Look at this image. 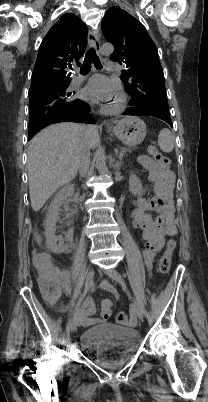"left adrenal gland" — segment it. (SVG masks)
<instances>
[{
    "instance_id": "a2214340",
    "label": "left adrenal gland",
    "mask_w": 208,
    "mask_h": 402,
    "mask_svg": "<svg viewBox=\"0 0 208 402\" xmlns=\"http://www.w3.org/2000/svg\"><path fill=\"white\" fill-rule=\"evenodd\" d=\"M110 164H112L114 170H120L121 162H116V164H114V160H111Z\"/></svg>"
}]
</instances>
